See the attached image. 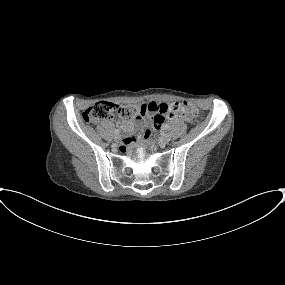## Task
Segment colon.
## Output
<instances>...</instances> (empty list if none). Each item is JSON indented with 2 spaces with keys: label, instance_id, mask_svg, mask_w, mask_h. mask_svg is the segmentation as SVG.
Returning a JSON list of instances; mask_svg holds the SVG:
<instances>
[{
  "label": "colon",
  "instance_id": "1",
  "mask_svg": "<svg viewBox=\"0 0 285 285\" xmlns=\"http://www.w3.org/2000/svg\"><path fill=\"white\" fill-rule=\"evenodd\" d=\"M121 118H133L147 113L144 105L137 106H117L110 102H97L89 106L83 113V119L86 123L94 124L99 121L110 119L114 113ZM199 111L188 102H174L168 105L164 111L163 120L176 117H194ZM162 119H160L161 121ZM126 142L130 140H125Z\"/></svg>",
  "mask_w": 285,
  "mask_h": 285
}]
</instances>
